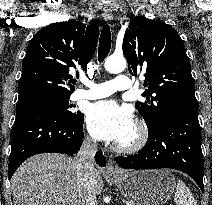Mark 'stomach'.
Returning a JSON list of instances; mask_svg holds the SVG:
<instances>
[{
	"mask_svg": "<svg viewBox=\"0 0 212 205\" xmlns=\"http://www.w3.org/2000/svg\"><path fill=\"white\" fill-rule=\"evenodd\" d=\"M111 179L130 205H164L175 188L174 176L164 169L123 172Z\"/></svg>",
	"mask_w": 212,
	"mask_h": 205,
	"instance_id": "obj_1",
	"label": "stomach"
}]
</instances>
